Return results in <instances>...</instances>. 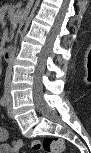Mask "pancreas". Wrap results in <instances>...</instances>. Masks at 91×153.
<instances>
[{
  "label": "pancreas",
  "mask_w": 91,
  "mask_h": 153,
  "mask_svg": "<svg viewBox=\"0 0 91 153\" xmlns=\"http://www.w3.org/2000/svg\"><path fill=\"white\" fill-rule=\"evenodd\" d=\"M15 9L16 7L12 6V5H5L1 8L0 13L1 16L4 17L5 14H8V17L10 18V20L12 21L13 18L15 17Z\"/></svg>",
  "instance_id": "cf45deb5"
}]
</instances>
